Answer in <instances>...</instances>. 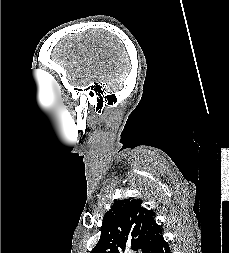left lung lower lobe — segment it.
<instances>
[{"label": "left lung lower lobe", "mask_w": 229, "mask_h": 253, "mask_svg": "<svg viewBox=\"0 0 229 253\" xmlns=\"http://www.w3.org/2000/svg\"><path fill=\"white\" fill-rule=\"evenodd\" d=\"M153 253H171L170 247L164 238L157 244Z\"/></svg>", "instance_id": "1"}]
</instances>
